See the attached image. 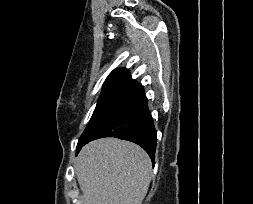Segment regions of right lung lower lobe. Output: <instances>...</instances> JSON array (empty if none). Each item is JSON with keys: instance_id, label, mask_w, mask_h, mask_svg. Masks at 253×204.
<instances>
[{"instance_id": "obj_1", "label": "right lung lower lobe", "mask_w": 253, "mask_h": 204, "mask_svg": "<svg viewBox=\"0 0 253 204\" xmlns=\"http://www.w3.org/2000/svg\"><path fill=\"white\" fill-rule=\"evenodd\" d=\"M103 137H116L140 145L154 164L157 136L153 118L148 110V100L141 84L93 131L82 146Z\"/></svg>"}]
</instances>
